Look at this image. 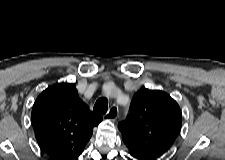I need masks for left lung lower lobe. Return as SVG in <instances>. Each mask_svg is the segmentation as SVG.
I'll return each instance as SVG.
<instances>
[{
	"label": "left lung lower lobe",
	"mask_w": 225,
	"mask_h": 160,
	"mask_svg": "<svg viewBox=\"0 0 225 160\" xmlns=\"http://www.w3.org/2000/svg\"><path fill=\"white\" fill-rule=\"evenodd\" d=\"M133 158L136 159V160H141V159H138L137 157L132 156V155H131V158H129V160H133Z\"/></svg>",
	"instance_id": "0a47b994"
}]
</instances>
